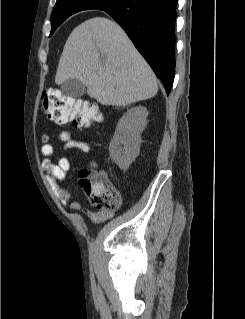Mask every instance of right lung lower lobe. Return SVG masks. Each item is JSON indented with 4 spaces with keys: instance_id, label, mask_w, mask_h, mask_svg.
<instances>
[{
    "instance_id": "right-lung-lower-lobe-1",
    "label": "right lung lower lobe",
    "mask_w": 245,
    "mask_h": 319,
    "mask_svg": "<svg viewBox=\"0 0 245 319\" xmlns=\"http://www.w3.org/2000/svg\"><path fill=\"white\" fill-rule=\"evenodd\" d=\"M178 0H122L103 9L125 30L170 93L175 76V18Z\"/></svg>"
}]
</instances>
